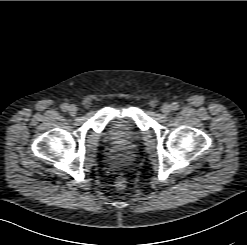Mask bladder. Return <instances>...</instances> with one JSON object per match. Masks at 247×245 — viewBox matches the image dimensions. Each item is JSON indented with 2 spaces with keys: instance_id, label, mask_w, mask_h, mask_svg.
<instances>
[{
  "instance_id": "bladder-1",
  "label": "bladder",
  "mask_w": 247,
  "mask_h": 245,
  "mask_svg": "<svg viewBox=\"0 0 247 245\" xmlns=\"http://www.w3.org/2000/svg\"><path fill=\"white\" fill-rule=\"evenodd\" d=\"M134 125L126 119H114L107 127V139L119 144H129L136 140Z\"/></svg>"
}]
</instances>
